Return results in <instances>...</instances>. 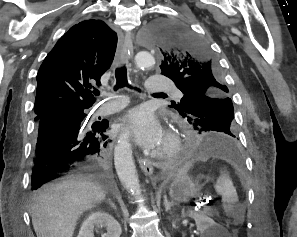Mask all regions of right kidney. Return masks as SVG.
<instances>
[{
	"label": "right kidney",
	"instance_id": "obj_1",
	"mask_svg": "<svg viewBox=\"0 0 297 237\" xmlns=\"http://www.w3.org/2000/svg\"><path fill=\"white\" fill-rule=\"evenodd\" d=\"M95 228H106L103 237H120L122 229L118 221L107 212H94L82 223L78 237H94Z\"/></svg>",
	"mask_w": 297,
	"mask_h": 237
}]
</instances>
